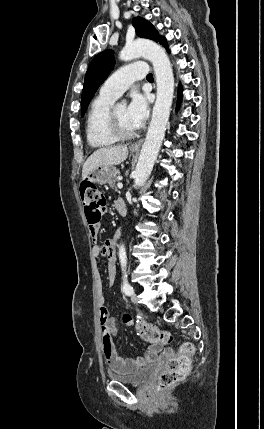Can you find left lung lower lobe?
<instances>
[{
  "label": "left lung lower lobe",
  "mask_w": 264,
  "mask_h": 429,
  "mask_svg": "<svg viewBox=\"0 0 264 429\" xmlns=\"http://www.w3.org/2000/svg\"><path fill=\"white\" fill-rule=\"evenodd\" d=\"M160 44L161 45H163L166 49H167V51L169 52V49H168V45H167V42H166V39L164 38V37H162L161 39H160ZM181 93H182V90H181V87L179 88V92H178V102L180 101V99H181Z\"/></svg>",
  "instance_id": "0a47b994"
}]
</instances>
